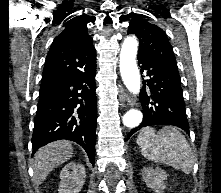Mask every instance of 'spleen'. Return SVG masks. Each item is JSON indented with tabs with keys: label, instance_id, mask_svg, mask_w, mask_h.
I'll use <instances>...</instances> for the list:
<instances>
[{
	"label": "spleen",
	"instance_id": "3e777b00",
	"mask_svg": "<svg viewBox=\"0 0 221 193\" xmlns=\"http://www.w3.org/2000/svg\"><path fill=\"white\" fill-rule=\"evenodd\" d=\"M137 144L141 154L157 163L167 164L188 174L193 168V156L185 136L176 128L166 126L155 134L154 128L141 130Z\"/></svg>",
	"mask_w": 221,
	"mask_h": 193
}]
</instances>
